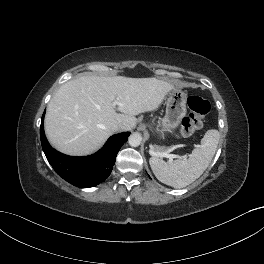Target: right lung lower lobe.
<instances>
[{"label": "right lung lower lobe", "instance_id": "1", "mask_svg": "<svg viewBox=\"0 0 264 264\" xmlns=\"http://www.w3.org/2000/svg\"><path fill=\"white\" fill-rule=\"evenodd\" d=\"M45 114V112H44ZM44 114L41 119L40 137L43 151L56 173L70 184L88 188L108 178L115 164L116 155L128 139L130 132L111 136L97 153L86 157H72L53 149L44 133Z\"/></svg>", "mask_w": 264, "mask_h": 264}]
</instances>
